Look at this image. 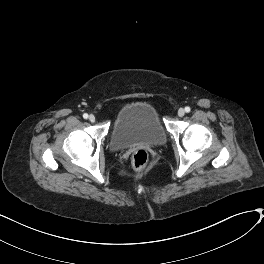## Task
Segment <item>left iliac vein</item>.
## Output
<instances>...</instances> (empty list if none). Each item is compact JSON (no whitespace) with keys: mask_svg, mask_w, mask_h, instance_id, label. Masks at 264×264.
<instances>
[{"mask_svg":"<svg viewBox=\"0 0 264 264\" xmlns=\"http://www.w3.org/2000/svg\"><path fill=\"white\" fill-rule=\"evenodd\" d=\"M184 114H185V110L183 108H180L178 110V116L182 117V116H184Z\"/></svg>","mask_w":264,"mask_h":264,"instance_id":"obj_1","label":"left iliac vein"}]
</instances>
